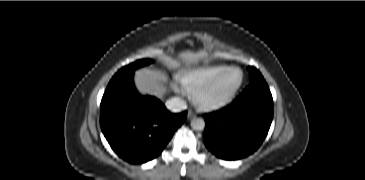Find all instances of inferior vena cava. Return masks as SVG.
<instances>
[{
  "label": "inferior vena cava",
  "instance_id": "602c4592",
  "mask_svg": "<svg viewBox=\"0 0 365 180\" xmlns=\"http://www.w3.org/2000/svg\"><path fill=\"white\" fill-rule=\"evenodd\" d=\"M165 105L172 112H180L187 108L186 102L179 97H173L167 100Z\"/></svg>",
  "mask_w": 365,
  "mask_h": 180
}]
</instances>
